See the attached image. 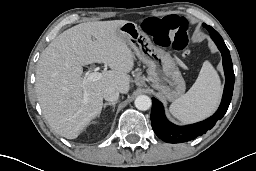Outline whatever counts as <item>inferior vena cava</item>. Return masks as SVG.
I'll use <instances>...</instances> for the list:
<instances>
[{
    "instance_id": "obj_1",
    "label": "inferior vena cava",
    "mask_w": 256,
    "mask_h": 171,
    "mask_svg": "<svg viewBox=\"0 0 256 171\" xmlns=\"http://www.w3.org/2000/svg\"><path fill=\"white\" fill-rule=\"evenodd\" d=\"M119 97V91L114 87H108L103 92V98L108 102L117 101Z\"/></svg>"
}]
</instances>
